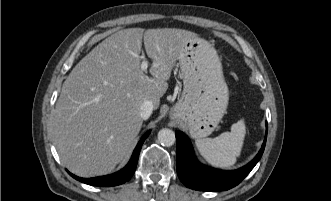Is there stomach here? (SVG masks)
<instances>
[{"mask_svg": "<svg viewBox=\"0 0 331 201\" xmlns=\"http://www.w3.org/2000/svg\"><path fill=\"white\" fill-rule=\"evenodd\" d=\"M178 60L184 89L171 118L184 124L192 138L207 137L224 116L229 100L220 58L211 43L194 37Z\"/></svg>", "mask_w": 331, "mask_h": 201, "instance_id": "stomach-1", "label": "stomach"}]
</instances>
